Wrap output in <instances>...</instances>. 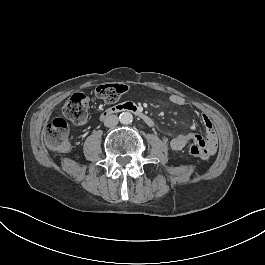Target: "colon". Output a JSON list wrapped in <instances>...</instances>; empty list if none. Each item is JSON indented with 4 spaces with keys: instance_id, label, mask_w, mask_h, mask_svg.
<instances>
[{
    "instance_id": "1",
    "label": "colon",
    "mask_w": 265,
    "mask_h": 265,
    "mask_svg": "<svg viewBox=\"0 0 265 265\" xmlns=\"http://www.w3.org/2000/svg\"><path fill=\"white\" fill-rule=\"evenodd\" d=\"M128 90L125 84H109L102 85L97 90L98 97L107 103H112L120 99ZM88 99L84 94H73L63 105V116L54 118L43 130L42 139L45 147L50 151L63 153L70 146V136L68 130V122L70 119L74 123L84 125L89 120L88 115ZM199 142L193 139L188 141V151L195 157L200 149Z\"/></svg>"
}]
</instances>
